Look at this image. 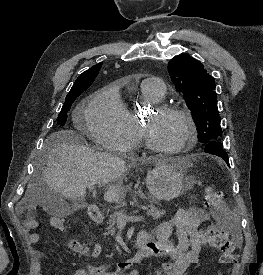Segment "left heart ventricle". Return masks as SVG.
Segmentation results:
<instances>
[{
  "label": "left heart ventricle",
  "instance_id": "b2bd125f",
  "mask_svg": "<svg viewBox=\"0 0 263 275\" xmlns=\"http://www.w3.org/2000/svg\"><path fill=\"white\" fill-rule=\"evenodd\" d=\"M145 125L152 141L165 149L177 148L188 134L185 120L178 115L153 112L146 117Z\"/></svg>",
  "mask_w": 263,
  "mask_h": 275
}]
</instances>
